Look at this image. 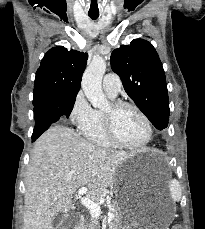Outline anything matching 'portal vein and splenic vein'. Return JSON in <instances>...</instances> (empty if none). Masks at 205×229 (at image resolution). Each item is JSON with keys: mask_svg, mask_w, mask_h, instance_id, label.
<instances>
[{"mask_svg": "<svg viewBox=\"0 0 205 229\" xmlns=\"http://www.w3.org/2000/svg\"><path fill=\"white\" fill-rule=\"evenodd\" d=\"M87 190L88 189L85 186L81 187L78 190V195H79L80 201H81L82 205H84L89 210V212L93 218H98L101 214V208L98 204L93 202L91 199L84 196L87 193ZM107 219H108V221L113 220L114 215L111 212H108Z\"/></svg>", "mask_w": 205, "mask_h": 229, "instance_id": "portal-vein-and-splenic-vein-1", "label": "portal vein and splenic vein"}]
</instances>
